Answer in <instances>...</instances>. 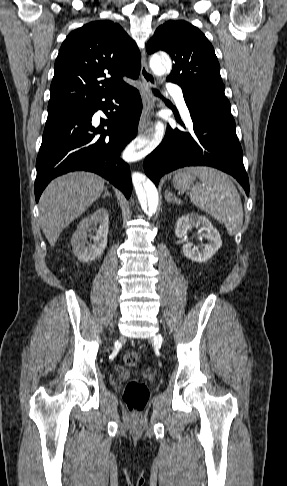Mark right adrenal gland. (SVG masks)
<instances>
[{
  "label": "right adrenal gland",
  "instance_id": "right-adrenal-gland-1",
  "mask_svg": "<svg viewBox=\"0 0 287 486\" xmlns=\"http://www.w3.org/2000/svg\"><path fill=\"white\" fill-rule=\"evenodd\" d=\"M106 196L112 197V194L109 193L107 187L104 188V195L102 196V198H105Z\"/></svg>",
  "mask_w": 287,
  "mask_h": 486
}]
</instances>
